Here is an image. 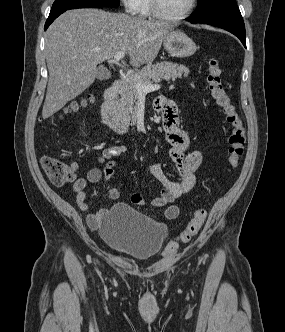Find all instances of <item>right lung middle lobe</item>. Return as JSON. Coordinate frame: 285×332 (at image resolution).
Listing matches in <instances>:
<instances>
[{"label":"right lung middle lobe","mask_w":285,"mask_h":332,"mask_svg":"<svg viewBox=\"0 0 285 332\" xmlns=\"http://www.w3.org/2000/svg\"><path fill=\"white\" fill-rule=\"evenodd\" d=\"M119 5V0H55L51 12L85 7H118Z\"/></svg>","instance_id":"right-lung-middle-lobe-1"}]
</instances>
